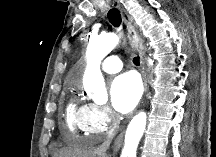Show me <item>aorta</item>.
<instances>
[{"mask_svg":"<svg viewBox=\"0 0 216 157\" xmlns=\"http://www.w3.org/2000/svg\"><path fill=\"white\" fill-rule=\"evenodd\" d=\"M119 37L115 33H106L92 38L87 47V66L83 76V85L89 97L95 103L107 101L105 82L100 70L101 61L116 47ZM147 124L145 112L136 114L129 123L124 140L121 157H136L138 144Z\"/></svg>","mask_w":216,"mask_h":157,"instance_id":"obj_1","label":"aorta"}]
</instances>
